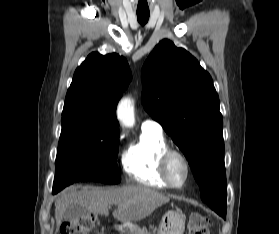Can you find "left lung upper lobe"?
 Listing matches in <instances>:
<instances>
[{"label": "left lung upper lobe", "mask_w": 279, "mask_h": 234, "mask_svg": "<svg viewBox=\"0 0 279 234\" xmlns=\"http://www.w3.org/2000/svg\"><path fill=\"white\" fill-rule=\"evenodd\" d=\"M142 103L186 156L203 202L226 218L223 118L210 74L162 40L142 68Z\"/></svg>", "instance_id": "obj_1"}]
</instances>
